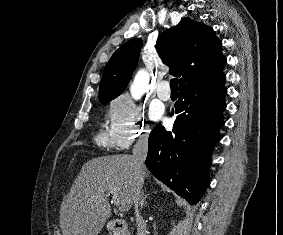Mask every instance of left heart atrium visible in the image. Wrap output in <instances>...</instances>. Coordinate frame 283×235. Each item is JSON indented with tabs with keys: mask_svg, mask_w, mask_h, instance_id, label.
<instances>
[{
	"mask_svg": "<svg viewBox=\"0 0 283 235\" xmlns=\"http://www.w3.org/2000/svg\"><path fill=\"white\" fill-rule=\"evenodd\" d=\"M152 116H153L154 119H158V118L161 117V113L159 111H154L152 113Z\"/></svg>",
	"mask_w": 283,
	"mask_h": 235,
	"instance_id": "1",
	"label": "left heart atrium"
}]
</instances>
